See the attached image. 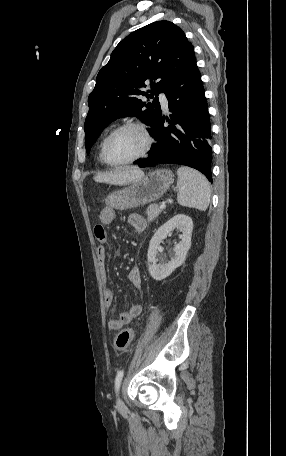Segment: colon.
Wrapping results in <instances>:
<instances>
[{
  "mask_svg": "<svg viewBox=\"0 0 286 456\" xmlns=\"http://www.w3.org/2000/svg\"><path fill=\"white\" fill-rule=\"evenodd\" d=\"M133 336L134 331L132 329H125L121 331L115 338V348L119 351L126 350L129 347Z\"/></svg>",
  "mask_w": 286,
  "mask_h": 456,
  "instance_id": "obj_1",
  "label": "colon"
}]
</instances>
